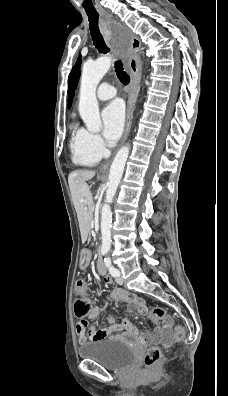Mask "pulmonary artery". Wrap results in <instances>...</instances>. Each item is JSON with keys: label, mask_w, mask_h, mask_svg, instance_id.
<instances>
[{"label": "pulmonary artery", "mask_w": 228, "mask_h": 396, "mask_svg": "<svg viewBox=\"0 0 228 396\" xmlns=\"http://www.w3.org/2000/svg\"><path fill=\"white\" fill-rule=\"evenodd\" d=\"M116 93V89L108 83H101L97 89V97L99 100H109L113 98Z\"/></svg>", "instance_id": "pulmonary-artery-1"}]
</instances>
